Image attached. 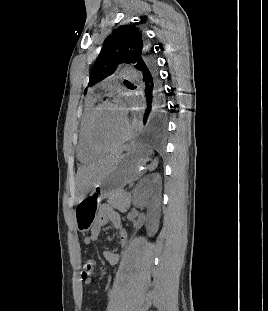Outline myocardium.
Masks as SVG:
<instances>
[{"instance_id":"f54148a6","label":"myocardium","mask_w":268,"mask_h":311,"mask_svg":"<svg viewBox=\"0 0 268 311\" xmlns=\"http://www.w3.org/2000/svg\"><path fill=\"white\" fill-rule=\"evenodd\" d=\"M112 105L113 104L109 101H103V102L98 103L92 109V111L90 112V114L87 118V121H86L85 134H86L87 143H88L89 147L97 153L111 151V150L121 146L122 144H124L131 136L132 128H131L129 121L126 119V131H125L124 135L117 142H115L109 146H101L95 141V139L93 137L94 120H95V118H96V116L100 110H102L104 107L112 106Z\"/></svg>"}]
</instances>
